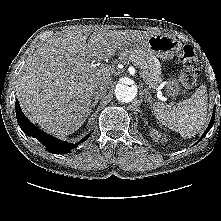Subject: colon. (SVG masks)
<instances>
[{
  "label": "colon",
  "mask_w": 221,
  "mask_h": 221,
  "mask_svg": "<svg viewBox=\"0 0 221 221\" xmlns=\"http://www.w3.org/2000/svg\"><path fill=\"white\" fill-rule=\"evenodd\" d=\"M180 60L183 64V69L180 70V79L187 85H194L197 81L198 59L194 48L191 45L183 47Z\"/></svg>",
  "instance_id": "5ec220e1"
}]
</instances>
